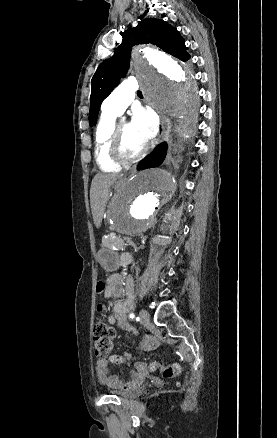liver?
<instances>
[{
    "mask_svg": "<svg viewBox=\"0 0 277 438\" xmlns=\"http://www.w3.org/2000/svg\"><path fill=\"white\" fill-rule=\"evenodd\" d=\"M116 174H96L92 180L90 192L91 212L96 228H100L106 204L109 200V188L118 180Z\"/></svg>",
    "mask_w": 277,
    "mask_h": 438,
    "instance_id": "1",
    "label": "liver"
}]
</instances>
